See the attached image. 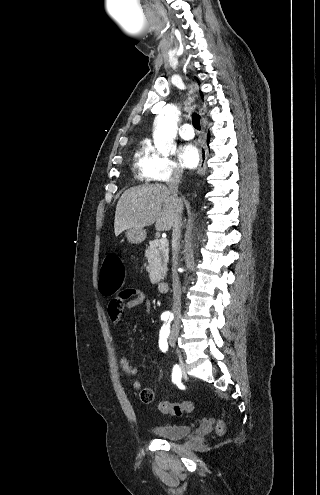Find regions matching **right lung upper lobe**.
<instances>
[{
	"instance_id": "1",
	"label": "right lung upper lobe",
	"mask_w": 320,
	"mask_h": 495,
	"mask_svg": "<svg viewBox=\"0 0 320 495\" xmlns=\"http://www.w3.org/2000/svg\"><path fill=\"white\" fill-rule=\"evenodd\" d=\"M195 79H196V80L198 81V83L200 84V82H199L198 78H196V77H195ZM200 94H201V97H203L202 92H200Z\"/></svg>"
}]
</instances>
